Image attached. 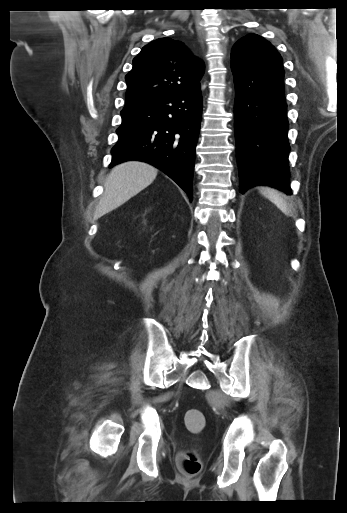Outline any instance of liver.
<instances>
[{
	"mask_svg": "<svg viewBox=\"0 0 347 513\" xmlns=\"http://www.w3.org/2000/svg\"><path fill=\"white\" fill-rule=\"evenodd\" d=\"M158 170L140 161H128L115 166L105 182V192L99 202L97 218L115 210L130 198L147 188L156 178Z\"/></svg>",
	"mask_w": 347,
	"mask_h": 513,
	"instance_id": "1",
	"label": "liver"
}]
</instances>
